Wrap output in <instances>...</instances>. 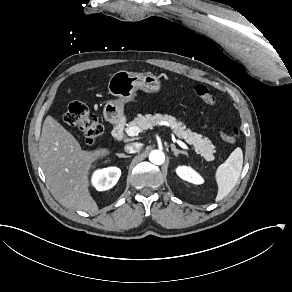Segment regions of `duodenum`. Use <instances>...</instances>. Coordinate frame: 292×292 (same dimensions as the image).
I'll use <instances>...</instances> for the list:
<instances>
[{
	"instance_id": "410a0bca",
	"label": "duodenum",
	"mask_w": 292,
	"mask_h": 292,
	"mask_svg": "<svg viewBox=\"0 0 292 292\" xmlns=\"http://www.w3.org/2000/svg\"><path fill=\"white\" fill-rule=\"evenodd\" d=\"M112 136L114 140L117 142H121L124 139V136H125L124 122L120 121L113 127Z\"/></svg>"
}]
</instances>
